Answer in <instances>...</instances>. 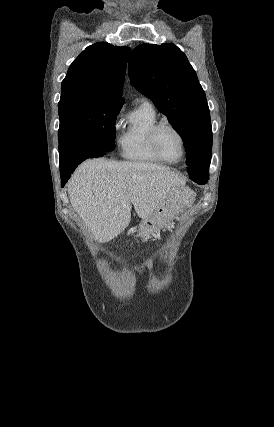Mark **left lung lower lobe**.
Masks as SVG:
<instances>
[{"mask_svg":"<svg viewBox=\"0 0 274 427\" xmlns=\"http://www.w3.org/2000/svg\"><path fill=\"white\" fill-rule=\"evenodd\" d=\"M190 179H192L194 182L198 184H206L209 178V175H195V174H189Z\"/></svg>","mask_w":274,"mask_h":427,"instance_id":"left-lung-lower-lobe-1","label":"left lung lower lobe"}]
</instances>
